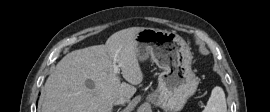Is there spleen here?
<instances>
[{"label":"spleen","instance_id":"spleen-1","mask_svg":"<svg viewBox=\"0 0 270 112\" xmlns=\"http://www.w3.org/2000/svg\"><path fill=\"white\" fill-rule=\"evenodd\" d=\"M202 112H227L226 99L221 87L216 86Z\"/></svg>","mask_w":270,"mask_h":112}]
</instances>
